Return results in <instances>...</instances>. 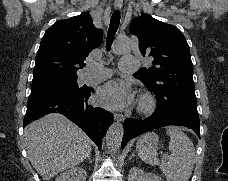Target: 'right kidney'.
<instances>
[{
  "instance_id": "obj_1",
  "label": "right kidney",
  "mask_w": 228,
  "mask_h": 181,
  "mask_svg": "<svg viewBox=\"0 0 228 181\" xmlns=\"http://www.w3.org/2000/svg\"><path fill=\"white\" fill-rule=\"evenodd\" d=\"M87 173L81 167H73L60 173L55 181H86Z\"/></svg>"
}]
</instances>
